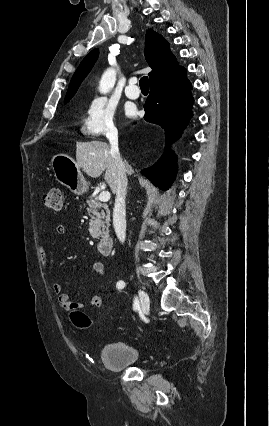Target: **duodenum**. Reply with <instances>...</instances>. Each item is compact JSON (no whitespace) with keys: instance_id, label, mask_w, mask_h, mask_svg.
I'll list each match as a JSON object with an SVG mask.
<instances>
[{"instance_id":"1","label":"duodenum","mask_w":269,"mask_h":426,"mask_svg":"<svg viewBox=\"0 0 269 426\" xmlns=\"http://www.w3.org/2000/svg\"><path fill=\"white\" fill-rule=\"evenodd\" d=\"M113 249V237L111 234H104L98 241V250L102 255H110Z\"/></svg>"}]
</instances>
